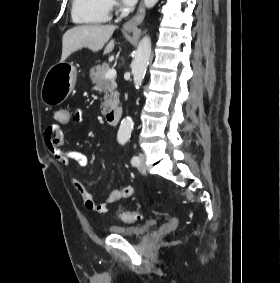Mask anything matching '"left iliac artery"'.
Here are the masks:
<instances>
[{
	"mask_svg": "<svg viewBox=\"0 0 280 283\" xmlns=\"http://www.w3.org/2000/svg\"><path fill=\"white\" fill-rule=\"evenodd\" d=\"M131 163L133 166H136L139 163V158L137 156H134L131 160Z\"/></svg>",
	"mask_w": 280,
	"mask_h": 283,
	"instance_id": "obj_1",
	"label": "left iliac artery"
}]
</instances>
